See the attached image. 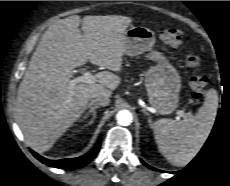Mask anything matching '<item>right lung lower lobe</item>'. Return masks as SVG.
<instances>
[{"mask_svg":"<svg viewBox=\"0 0 230 186\" xmlns=\"http://www.w3.org/2000/svg\"><path fill=\"white\" fill-rule=\"evenodd\" d=\"M101 140H99L96 144V146L86 155L78 157V158H70V159H61V160H48L46 158H43L39 154L35 153L31 150L32 154L40 160L42 163L55 167V168H61V169H74L78 167H82L86 164H88L98 153L100 148Z\"/></svg>","mask_w":230,"mask_h":186,"instance_id":"obj_1","label":"right lung lower lobe"}]
</instances>
